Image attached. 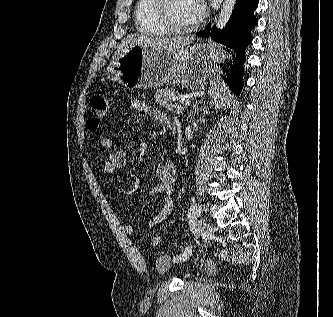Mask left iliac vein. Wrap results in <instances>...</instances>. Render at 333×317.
Wrapping results in <instances>:
<instances>
[{
  "mask_svg": "<svg viewBox=\"0 0 333 317\" xmlns=\"http://www.w3.org/2000/svg\"><path fill=\"white\" fill-rule=\"evenodd\" d=\"M210 226L203 220L197 222V232L200 236L205 237L210 233Z\"/></svg>",
  "mask_w": 333,
  "mask_h": 317,
  "instance_id": "4c4485c4",
  "label": "left iliac vein"
}]
</instances>
